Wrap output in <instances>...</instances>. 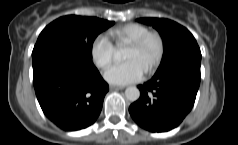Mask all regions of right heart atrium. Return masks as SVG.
Here are the masks:
<instances>
[{
    "label": "right heart atrium",
    "instance_id": "obj_1",
    "mask_svg": "<svg viewBox=\"0 0 238 145\" xmlns=\"http://www.w3.org/2000/svg\"><path fill=\"white\" fill-rule=\"evenodd\" d=\"M90 56L94 64L100 68H107L114 60V48L106 35H97L90 45Z\"/></svg>",
    "mask_w": 238,
    "mask_h": 145
}]
</instances>
